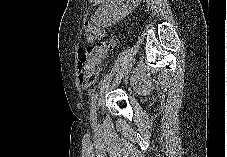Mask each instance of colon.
Here are the masks:
<instances>
[{
	"label": "colon",
	"instance_id": "5ec220e1",
	"mask_svg": "<svg viewBox=\"0 0 227 157\" xmlns=\"http://www.w3.org/2000/svg\"><path fill=\"white\" fill-rule=\"evenodd\" d=\"M104 34V29L93 22H88L85 26L86 40L90 43L101 39ZM115 45L116 40L113 39L107 42H99L79 51L78 79L83 87H88L94 82L99 65L106 59Z\"/></svg>",
	"mask_w": 227,
	"mask_h": 157
}]
</instances>
